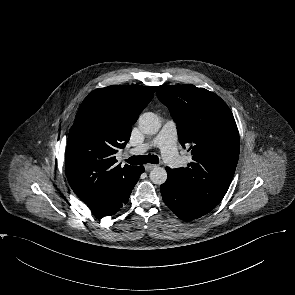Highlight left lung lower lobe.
I'll return each mask as SVG.
<instances>
[{
	"label": "left lung lower lobe",
	"instance_id": "obj_1",
	"mask_svg": "<svg viewBox=\"0 0 295 295\" xmlns=\"http://www.w3.org/2000/svg\"><path fill=\"white\" fill-rule=\"evenodd\" d=\"M168 178L161 185V194L165 204L182 220L191 221L202 217L209 211L199 208L185 191L173 181L170 175L169 167H166Z\"/></svg>",
	"mask_w": 295,
	"mask_h": 295
}]
</instances>
